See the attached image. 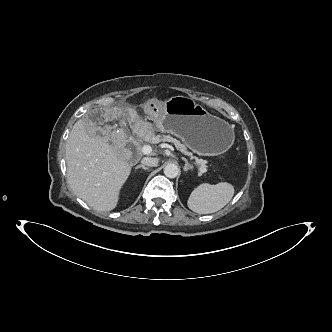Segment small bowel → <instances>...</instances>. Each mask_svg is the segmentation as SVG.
I'll use <instances>...</instances> for the list:
<instances>
[{"mask_svg": "<svg viewBox=\"0 0 332 332\" xmlns=\"http://www.w3.org/2000/svg\"><path fill=\"white\" fill-rule=\"evenodd\" d=\"M162 109V104L157 99H148L144 103V113L147 118L155 119L158 117L160 111ZM113 112L109 108H100L97 111H92L88 115V122L92 126H99L102 123L106 124L112 121ZM136 134L141 138H150L154 133V128L145 122H138L135 127Z\"/></svg>", "mask_w": 332, "mask_h": 332, "instance_id": "small-bowel-1", "label": "small bowel"}]
</instances>
